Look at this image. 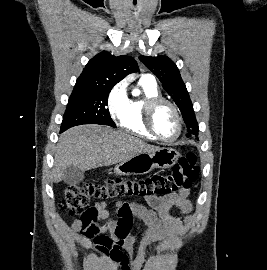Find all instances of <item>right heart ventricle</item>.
Returning a JSON list of instances; mask_svg holds the SVG:
<instances>
[{"instance_id":"1","label":"right heart ventricle","mask_w":267,"mask_h":270,"mask_svg":"<svg viewBox=\"0 0 267 270\" xmlns=\"http://www.w3.org/2000/svg\"><path fill=\"white\" fill-rule=\"evenodd\" d=\"M139 85L143 90V97L128 101L125 112L119 120V125L131 134L144 139L153 140L154 137L148 132L144 125V106L147 100L161 96V94L155 82L140 79Z\"/></svg>"}]
</instances>
